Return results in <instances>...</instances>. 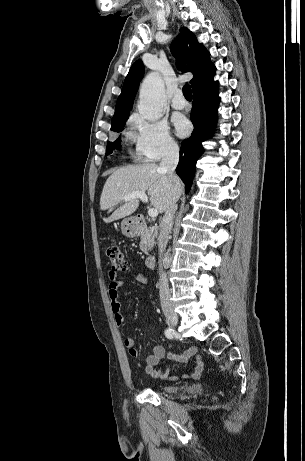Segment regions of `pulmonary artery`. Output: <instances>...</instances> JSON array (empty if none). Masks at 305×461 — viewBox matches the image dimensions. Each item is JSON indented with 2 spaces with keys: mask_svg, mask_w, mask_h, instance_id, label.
Listing matches in <instances>:
<instances>
[{
  "mask_svg": "<svg viewBox=\"0 0 305 461\" xmlns=\"http://www.w3.org/2000/svg\"><path fill=\"white\" fill-rule=\"evenodd\" d=\"M171 106L176 110H182L186 106V101L183 98L182 92L177 91L171 100Z\"/></svg>",
  "mask_w": 305,
  "mask_h": 461,
  "instance_id": "obj_1",
  "label": "pulmonary artery"
}]
</instances>
